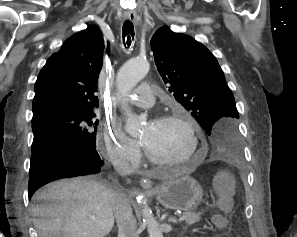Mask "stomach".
Instances as JSON below:
<instances>
[{
  "instance_id": "obj_1",
  "label": "stomach",
  "mask_w": 297,
  "mask_h": 237,
  "mask_svg": "<svg viewBox=\"0 0 297 237\" xmlns=\"http://www.w3.org/2000/svg\"><path fill=\"white\" fill-rule=\"evenodd\" d=\"M157 201L165 208L192 212L203 199V188L189 175L179 177L152 191Z\"/></svg>"
}]
</instances>
